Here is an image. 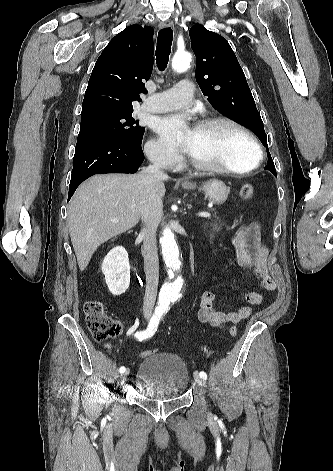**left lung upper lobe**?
Instances as JSON below:
<instances>
[{
	"label": "left lung upper lobe",
	"mask_w": 333,
	"mask_h": 471,
	"mask_svg": "<svg viewBox=\"0 0 333 471\" xmlns=\"http://www.w3.org/2000/svg\"><path fill=\"white\" fill-rule=\"evenodd\" d=\"M189 35L196 55V80L208 103L249 128L268 150L260 113L244 72L227 40L200 24L191 27ZM267 156L265 169L276 176L269 151Z\"/></svg>",
	"instance_id": "left-lung-upper-lobe-1"
}]
</instances>
